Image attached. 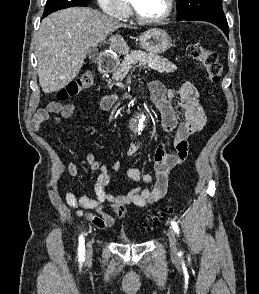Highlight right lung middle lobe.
Returning <instances> with one entry per match:
<instances>
[{"mask_svg": "<svg viewBox=\"0 0 259 294\" xmlns=\"http://www.w3.org/2000/svg\"><path fill=\"white\" fill-rule=\"evenodd\" d=\"M91 0H47L45 5L43 17L55 12L57 10L69 8L72 6H87V2Z\"/></svg>", "mask_w": 259, "mask_h": 294, "instance_id": "dd1d6c3e", "label": "right lung middle lobe"}]
</instances>
